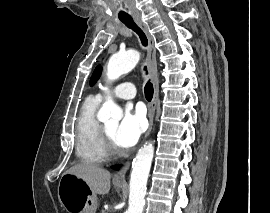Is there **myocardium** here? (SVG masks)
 <instances>
[{
    "mask_svg": "<svg viewBox=\"0 0 270 213\" xmlns=\"http://www.w3.org/2000/svg\"><path fill=\"white\" fill-rule=\"evenodd\" d=\"M102 138H103V144L105 151L108 155V157H114L121 154V151L119 148L114 144L111 136L107 132L104 126H102Z\"/></svg>",
    "mask_w": 270,
    "mask_h": 213,
    "instance_id": "myocardium-1",
    "label": "myocardium"
}]
</instances>
